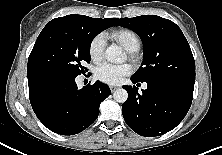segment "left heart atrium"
<instances>
[{
    "label": "left heart atrium",
    "mask_w": 222,
    "mask_h": 155,
    "mask_svg": "<svg viewBox=\"0 0 222 155\" xmlns=\"http://www.w3.org/2000/svg\"><path fill=\"white\" fill-rule=\"evenodd\" d=\"M132 67L129 64H112L104 62L96 69L97 78L107 84H118L130 74Z\"/></svg>",
    "instance_id": "39dd6f15"
}]
</instances>
